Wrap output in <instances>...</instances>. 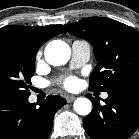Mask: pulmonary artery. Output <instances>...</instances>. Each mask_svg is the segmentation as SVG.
<instances>
[{"mask_svg": "<svg viewBox=\"0 0 139 139\" xmlns=\"http://www.w3.org/2000/svg\"><path fill=\"white\" fill-rule=\"evenodd\" d=\"M72 56H71V67L79 68L83 66L90 57V44L84 40H75L72 43ZM108 94L104 92L102 98L106 99Z\"/></svg>", "mask_w": 139, "mask_h": 139, "instance_id": "pulmonary-artery-1", "label": "pulmonary artery"}]
</instances>
